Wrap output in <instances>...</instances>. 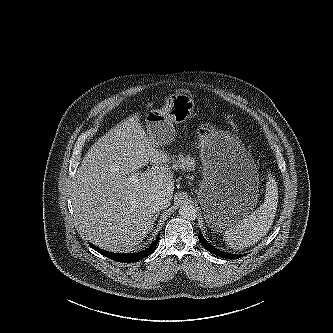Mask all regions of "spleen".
<instances>
[{
    "instance_id": "1",
    "label": "spleen",
    "mask_w": 333,
    "mask_h": 333,
    "mask_svg": "<svg viewBox=\"0 0 333 333\" xmlns=\"http://www.w3.org/2000/svg\"><path fill=\"white\" fill-rule=\"evenodd\" d=\"M278 205V187L271 174L267 176L264 202L256 211L226 229L224 239L235 250H242L257 243L273 224Z\"/></svg>"
}]
</instances>
